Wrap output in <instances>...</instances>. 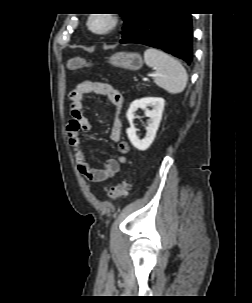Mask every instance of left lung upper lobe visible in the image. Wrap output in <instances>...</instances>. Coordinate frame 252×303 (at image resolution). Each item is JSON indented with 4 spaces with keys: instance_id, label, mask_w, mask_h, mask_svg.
Masks as SVG:
<instances>
[{
    "instance_id": "5c2ea615",
    "label": "left lung upper lobe",
    "mask_w": 252,
    "mask_h": 303,
    "mask_svg": "<svg viewBox=\"0 0 252 303\" xmlns=\"http://www.w3.org/2000/svg\"><path fill=\"white\" fill-rule=\"evenodd\" d=\"M143 14L142 10H138L134 13L121 14L124 20V26L122 31V38L126 37L138 24L141 16Z\"/></svg>"
}]
</instances>
